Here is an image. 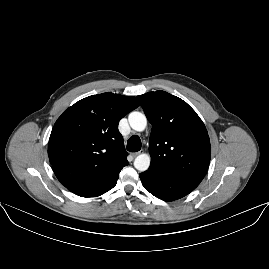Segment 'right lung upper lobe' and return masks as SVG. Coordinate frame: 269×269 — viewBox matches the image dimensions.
<instances>
[{"label":"right lung upper lobe","instance_id":"1","mask_svg":"<svg viewBox=\"0 0 269 269\" xmlns=\"http://www.w3.org/2000/svg\"><path fill=\"white\" fill-rule=\"evenodd\" d=\"M138 106L133 96L108 92L76 102L57 119L48 156L66 188L104 179L128 164L118 123Z\"/></svg>","mask_w":269,"mask_h":269}]
</instances>
